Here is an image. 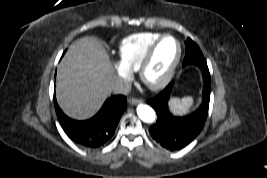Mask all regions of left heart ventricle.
<instances>
[{"label": "left heart ventricle", "mask_w": 267, "mask_h": 178, "mask_svg": "<svg viewBox=\"0 0 267 178\" xmlns=\"http://www.w3.org/2000/svg\"><path fill=\"white\" fill-rule=\"evenodd\" d=\"M177 51V44L172 38L163 40L146 70V79L151 83L161 80L171 67Z\"/></svg>", "instance_id": "left-heart-ventricle-1"}]
</instances>
